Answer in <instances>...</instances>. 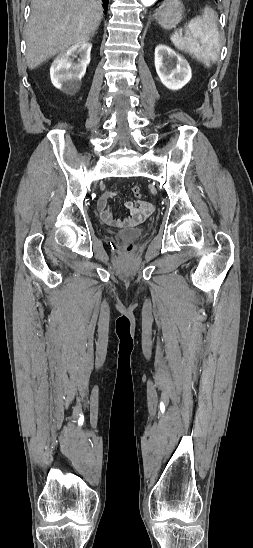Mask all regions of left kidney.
I'll return each instance as SVG.
<instances>
[{
  "mask_svg": "<svg viewBox=\"0 0 253 548\" xmlns=\"http://www.w3.org/2000/svg\"><path fill=\"white\" fill-rule=\"evenodd\" d=\"M154 62L162 84L170 90L181 89L192 77L187 60L166 45L155 48Z\"/></svg>",
  "mask_w": 253,
  "mask_h": 548,
  "instance_id": "1",
  "label": "left kidney"
}]
</instances>
